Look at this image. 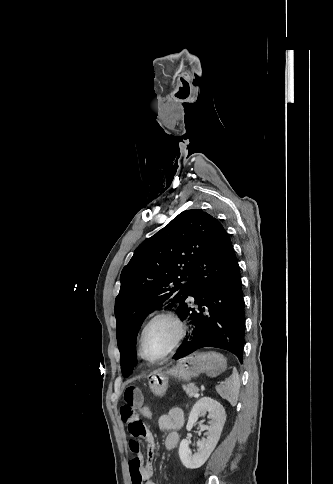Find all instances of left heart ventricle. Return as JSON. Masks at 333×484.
Masks as SVG:
<instances>
[{
  "mask_svg": "<svg viewBox=\"0 0 333 484\" xmlns=\"http://www.w3.org/2000/svg\"><path fill=\"white\" fill-rule=\"evenodd\" d=\"M176 333L175 325L169 320L156 321L145 334L144 353L151 358L160 356L169 347Z\"/></svg>",
  "mask_w": 333,
  "mask_h": 484,
  "instance_id": "1",
  "label": "left heart ventricle"
}]
</instances>
